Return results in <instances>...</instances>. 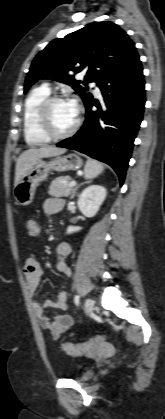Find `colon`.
<instances>
[{
	"label": "colon",
	"mask_w": 165,
	"mask_h": 419,
	"mask_svg": "<svg viewBox=\"0 0 165 419\" xmlns=\"http://www.w3.org/2000/svg\"><path fill=\"white\" fill-rule=\"evenodd\" d=\"M37 225L38 222L36 220H29L27 224L28 230L31 233H35ZM105 338L104 335H97L80 343H63L62 350L70 356H81L94 350Z\"/></svg>",
	"instance_id": "colon-1"
}]
</instances>
